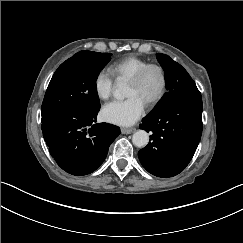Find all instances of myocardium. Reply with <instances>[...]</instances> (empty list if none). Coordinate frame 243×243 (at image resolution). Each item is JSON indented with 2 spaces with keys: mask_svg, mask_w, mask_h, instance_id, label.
Returning a JSON list of instances; mask_svg holds the SVG:
<instances>
[{
  "mask_svg": "<svg viewBox=\"0 0 243 243\" xmlns=\"http://www.w3.org/2000/svg\"><path fill=\"white\" fill-rule=\"evenodd\" d=\"M152 68H156L159 70L162 76L163 84H162V89L158 96L154 98L153 100L149 101L147 103L148 106H155L159 104L166 96L169 88V77L168 73L165 69V67L159 63L156 62H148L145 65H143L128 81L133 83V84H138L142 81L144 75L146 72Z\"/></svg>",
  "mask_w": 243,
  "mask_h": 243,
  "instance_id": "obj_1",
  "label": "myocardium"
}]
</instances>
